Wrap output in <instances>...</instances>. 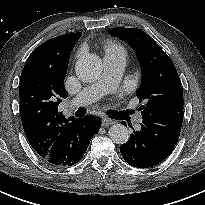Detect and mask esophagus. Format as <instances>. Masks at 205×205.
I'll return each instance as SVG.
<instances>
[{"label":"esophagus","instance_id":"34e87169","mask_svg":"<svg viewBox=\"0 0 205 205\" xmlns=\"http://www.w3.org/2000/svg\"><path fill=\"white\" fill-rule=\"evenodd\" d=\"M101 121H102V126H105V127L114 123L111 119L106 118V117H102Z\"/></svg>","mask_w":205,"mask_h":205}]
</instances>
